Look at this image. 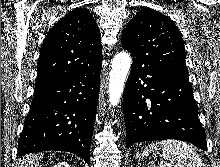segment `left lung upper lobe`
<instances>
[{
	"mask_svg": "<svg viewBox=\"0 0 220 167\" xmlns=\"http://www.w3.org/2000/svg\"><path fill=\"white\" fill-rule=\"evenodd\" d=\"M121 41L139 65L188 76L182 35L162 13L150 8L139 11L127 24Z\"/></svg>",
	"mask_w": 220,
	"mask_h": 167,
	"instance_id": "left-lung-upper-lobe-1",
	"label": "left lung upper lobe"
}]
</instances>
